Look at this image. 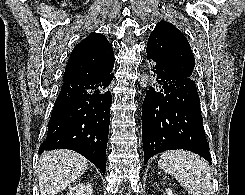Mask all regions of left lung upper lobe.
Instances as JSON below:
<instances>
[{"mask_svg": "<svg viewBox=\"0 0 245 195\" xmlns=\"http://www.w3.org/2000/svg\"><path fill=\"white\" fill-rule=\"evenodd\" d=\"M147 58L179 78H192L195 59L186 37L173 24L160 21L149 36Z\"/></svg>", "mask_w": 245, "mask_h": 195, "instance_id": "left-lung-upper-lobe-1", "label": "left lung upper lobe"}]
</instances>
